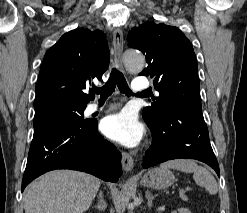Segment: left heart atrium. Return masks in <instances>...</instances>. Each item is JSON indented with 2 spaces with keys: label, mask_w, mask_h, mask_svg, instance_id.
<instances>
[{
  "label": "left heart atrium",
  "mask_w": 247,
  "mask_h": 213,
  "mask_svg": "<svg viewBox=\"0 0 247 213\" xmlns=\"http://www.w3.org/2000/svg\"><path fill=\"white\" fill-rule=\"evenodd\" d=\"M101 131L109 139L127 147L138 145L144 134L143 125L128 110L106 116L101 121Z\"/></svg>",
  "instance_id": "obj_1"
}]
</instances>
